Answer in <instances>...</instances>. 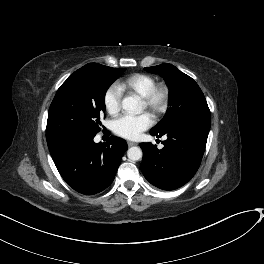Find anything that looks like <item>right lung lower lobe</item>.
<instances>
[{
	"instance_id": "1",
	"label": "right lung lower lobe",
	"mask_w": 264,
	"mask_h": 264,
	"mask_svg": "<svg viewBox=\"0 0 264 264\" xmlns=\"http://www.w3.org/2000/svg\"><path fill=\"white\" fill-rule=\"evenodd\" d=\"M95 136H66L48 141L53 161L66 183L79 193L92 195L113 182L126 142L112 136L105 144Z\"/></svg>"
}]
</instances>
